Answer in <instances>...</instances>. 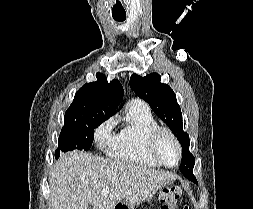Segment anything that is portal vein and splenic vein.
Segmentation results:
<instances>
[{"instance_id":"1","label":"portal vein and splenic vein","mask_w":253,"mask_h":209,"mask_svg":"<svg viewBox=\"0 0 253 209\" xmlns=\"http://www.w3.org/2000/svg\"><path fill=\"white\" fill-rule=\"evenodd\" d=\"M102 192L107 193V192H108V190L104 189V190H102Z\"/></svg>"}]
</instances>
